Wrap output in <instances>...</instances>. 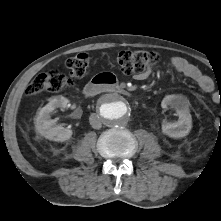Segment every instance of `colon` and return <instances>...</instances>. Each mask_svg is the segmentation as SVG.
Here are the masks:
<instances>
[{"instance_id": "colon-1", "label": "colon", "mask_w": 221, "mask_h": 221, "mask_svg": "<svg viewBox=\"0 0 221 221\" xmlns=\"http://www.w3.org/2000/svg\"><path fill=\"white\" fill-rule=\"evenodd\" d=\"M159 60L160 55L157 52L125 50L117 55L115 64L125 74H140L149 70V68L157 64ZM89 65V55L87 53H79L66 60V68L70 76L56 70L40 74L30 82L26 92L29 95H34L42 91L57 92L69 88L73 85L72 77H83Z\"/></svg>"}]
</instances>
